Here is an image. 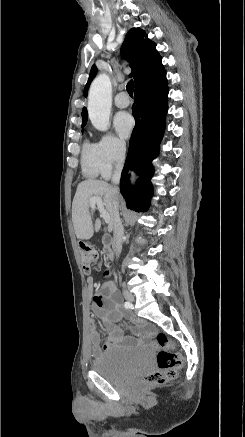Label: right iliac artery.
I'll use <instances>...</instances> for the list:
<instances>
[{
  "label": "right iliac artery",
  "mask_w": 245,
  "mask_h": 437,
  "mask_svg": "<svg viewBox=\"0 0 245 437\" xmlns=\"http://www.w3.org/2000/svg\"><path fill=\"white\" fill-rule=\"evenodd\" d=\"M124 306H125V308H130V307H131V304H130L129 302H125V303H124Z\"/></svg>",
  "instance_id": "right-iliac-artery-1"
}]
</instances>
